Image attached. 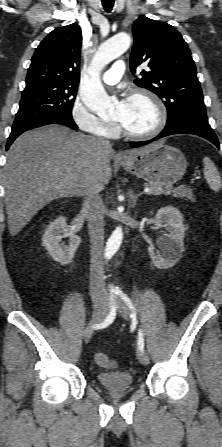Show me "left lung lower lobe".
<instances>
[{
    "mask_svg": "<svg viewBox=\"0 0 222 447\" xmlns=\"http://www.w3.org/2000/svg\"><path fill=\"white\" fill-rule=\"evenodd\" d=\"M173 134H194L201 136L213 144H215L219 148V142L218 139L213 132L210 125L202 124L196 120L182 117L178 118L175 121L171 123H167L164 130L155 138L149 140V141H142V142H131L130 146L133 148H137L140 146L147 145L157 139L163 138L165 136L173 135Z\"/></svg>",
    "mask_w": 222,
    "mask_h": 447,
    "instance_id": "obj_1",
    "label": "left lung lower lobe"
}]
</instances>
